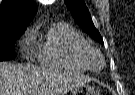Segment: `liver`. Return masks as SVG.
Here are the masks:
<instances>
[{"label": "liver", "instance_id": "6515ba94", "mask_svg": "<svg viewBox=\"0 0 135 95\" xmlns=\"http://www.w3.org/2000/svg\"><path fill=\"white\" fill-rule=\"evenodd\" d=\"M88 81L72 72L0 62V95H64Z\"/></svg>", "mask_w": 135, "mask_h": 95}]
</instances>
